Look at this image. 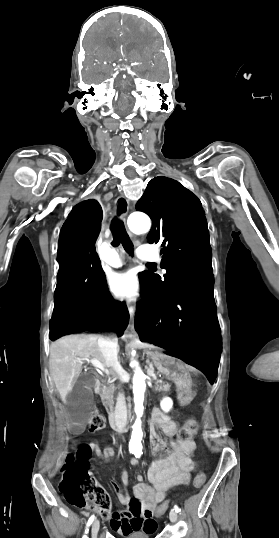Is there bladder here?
<instances>
[{"label": "bladder", "mask_w": 279, "mask_h": 538, "mask_svg": "<svg viewBox=\"0 0 279 538\" xmlns=\"http://www.w3.org/2000/svg\"><path fill=\"white\" fill-rule=\"evenodd\" d=\"M129 538H149L146 532H130Z\"/></svg>", "instance_id": "obj_1"}]
</instances>
